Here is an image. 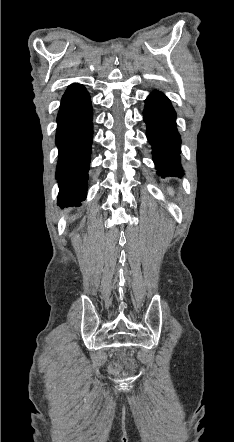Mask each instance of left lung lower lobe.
<instances>
[{"instance_id":"left-lung-lower-lobe-1","label":"left lung lower lobe","mask_w":234,"mask_h":442,"mask_svg":"<svg viewBox=\"0 0 234 442\" xmlns=\"http://www.w3.org/2000/svg\"><path fill=\"white\" fill-rule=\"evenodd\" d=\"M144 121L147 137L153 146V160L161 177L179 176L180 135L176 128V114L170 101L161 93L153 92L145 101Z\"/></svg>"}]
</instances>
